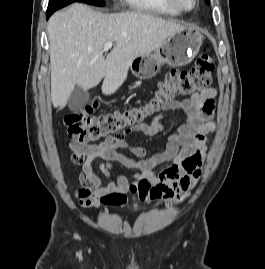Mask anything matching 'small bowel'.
<instances>
[{
  "mask_svg": "<svg viewBox=\"0 0 265 269\" xmlns=\"http://www.w3.org/2000/svg\"><path fill=\"white\" fill-rule=\"evenodd\" d=\"M215 88H206L190 98L172 100L164 106V112L148 123H141L122 132L117 137L98 143L69 142L73 162L82 166L79 176L81 187L75 191L79 204L85 208L123 206L129 201L126 193L135 195L133 201L152 198L149 187L165 188L167 198L180 199L196 185L207 152V135L213 131ZM171 114L184 117L165 146L149 154L142 147L130 145L126 136L140 132L153 137L163 128L164 119ZM103 159L101 173L109 177L103 181L95 172L92 162ZM119 163L135 172L134 181L124 175H113L114 164ZM159 168L158 171L156 169Z\"/></svg>",
  "mask_w": 265,
  "mask_h": 269,
  "instance_id": "obj_1",
  "label": "small bowel"
}]
</instances>
